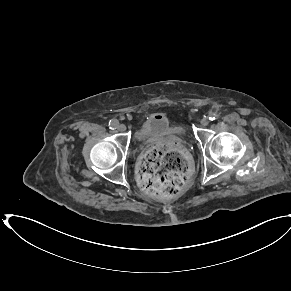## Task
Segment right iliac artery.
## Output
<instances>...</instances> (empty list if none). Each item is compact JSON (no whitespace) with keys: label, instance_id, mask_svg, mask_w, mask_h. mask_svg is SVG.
<instances>
[{"label":"right iliac artery","instance_id":"obj_1","mask_svg":"<svg viewBox=\"0 0 291 291\" xmlns=\"http://www.w3.org/2000/svg\"><path fill=\"white\" fill-rule=\"evenodd\" d=\"M118 125H119L118 120L112 119L109 121V128L112 130L116 129Z\"/></svg>","mask_w":291,"mask_h":291}]
</instances>
